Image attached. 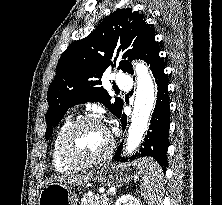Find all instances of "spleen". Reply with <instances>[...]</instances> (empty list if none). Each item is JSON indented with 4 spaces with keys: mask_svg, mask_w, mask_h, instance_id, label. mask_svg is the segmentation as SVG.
<instances>
[{
    "mask_svg": "<svg viewBox=\"0 0 222 205\" xmlns=\"http://www.w3.org/2000/svg\"><path fill=\"white\" fill-rule=\"evenodd\" d=\"M138 170L142 180L141 190L148 205H160L164 177L162 168L151 158L138 161Z\"/></svg>",
    "mask_w": 222,
    "mask_h": 205,
    "instance_id": "1",
    "label": "spleen"
}]
</instances>
